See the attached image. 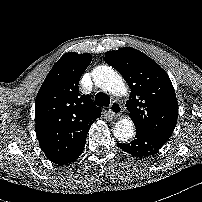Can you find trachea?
Returning <instances> with one entry per match:
<instances>
[{
	"label": "trachea",
	"instance_id": "obj_1",
	"mask_svg": "<svg viewBox=\"0 0 202 202\" xmlns=\"http://www.w3.org/2000/svg\"><path fill=\"white\" fill-rule=\"evenodd\" d=\"M95 103L98 106H108L110 104V99L104 93L99 92L95 96Z\"/></svg>",
	"mask_w": 202,
	"mask_h": 202
}]
</instances>
